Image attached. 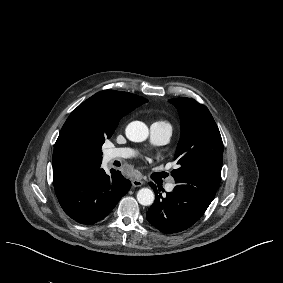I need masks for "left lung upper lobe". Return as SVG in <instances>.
<instances>
[{
    "mask_svg": "<svg viewBox=\"0 0 283 283\" xmlns=\"http://www.w3.org/2000/svg\"><path fill=\"white\" fill-rule=\"evenodd\" d=\"M178 110L181 136L172 171L177 187L210 204L219 186L223 143L218 127L202 104L190 98L170 99Z\"/></svg>",
    "mask_w": 283,
    "mask_h": 283,
    "instance_id": "1",
    "label": "left lung upper lobe"
}]
</instances>
